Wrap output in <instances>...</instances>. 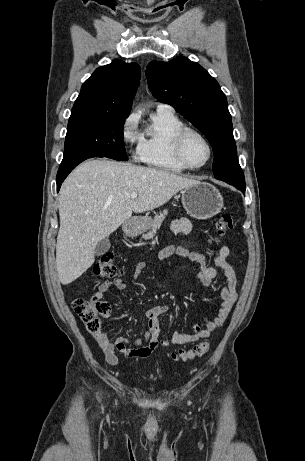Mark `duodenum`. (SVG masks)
Listing matches in <instances>:
<instances>
[{
    "mask_svg": "<svg viewBox=\"0 0 305 461\" xmlns=\"http://www.w3.org/2000/svg\"><path fill=\"white\" fill-rule=\"evenodd\" d=\"M133 223H134V221H133V220H131V221L128 223V225H127V226H128V227H130V226H132V225H133Z\"/></svg>",
    "mask_w": 305,
    "mask_h": 461,
    "instance_id": "duodenum-1",
    "label": "duodenum"
}]
</instances>
